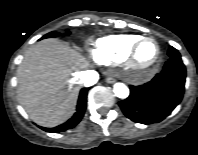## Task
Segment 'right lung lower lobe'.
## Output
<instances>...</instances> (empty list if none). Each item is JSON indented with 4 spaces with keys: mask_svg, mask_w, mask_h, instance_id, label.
<instances>
[{
    "mask_svg": "<svg viewBox=\"0 0 198 155\" xmlns=\"http://www.w3.org/2000/svg\"><path fill=\"white\" fill-rule=\"evenodd\" d=\"M88 89L89 88H83L81 90L79 99H78V104H77V111L71 119H69L66 123L61 124L54 128H45V127H40V128L47 132L58 133V132H62L67 129H71V128L75 127L80 122V120L82 119V117L84 115V112L86 109Z\"/></svg>",
    "mask_w": 198,
    "mask_h": 155,
    "instance_id": "obj_1",
    "label": "right lung lower lobe"
}]
</instances>
